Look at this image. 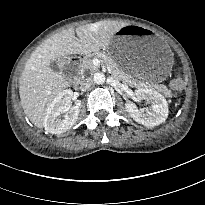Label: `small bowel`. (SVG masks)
<instances>
[{"label": "small bowel", "mask_w": 205, "mask_h": 205, "mask_svg": "<svg viewBox=\"0 0 205 205\" xmlns=\"http://www.w3.org/2000/svg\"><path fill=\"white\" fill-rule=\"evenodd\" d=\"M172 87H173L174 89H179V87H180V81H179V80H174V81L172 82Z\"/></svg>", "instance_id": "c3829d8e"}]
</instances>
